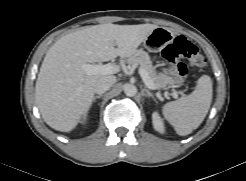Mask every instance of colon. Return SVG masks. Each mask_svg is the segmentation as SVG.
I'll return each mask as SVG.
<instances>
[{"mask_svg":"<svg viewBox=\"0 0 246 181\" xmlns=\"http://www.w3.org/2000/svg\"><path fill=\"white\" fill-rule=\"evenodd\" d=\"M161 56L180 84L184 83L188 76V67L181 61L182 59H187L195 67H201L205 63L197 46L184 36L176 37L162 50Z\"/></svg>","mask_w":246,"mask_h":181,"instance_id":"5ec220e1","label":"colon"}]
</instances>
